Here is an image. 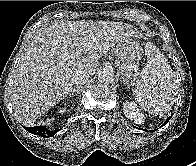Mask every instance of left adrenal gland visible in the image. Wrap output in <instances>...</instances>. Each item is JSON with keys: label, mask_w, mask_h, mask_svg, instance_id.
Returning <instances> with one entry per match:
<instances>
[{"label": "left adrenal gland", "mask_w": 196, "mask_h": 166, "mask_svg": "<svg viewBox=\"0 0 196 166\" xmlns=\"http://www.w3.org/2000/svg\"><path fill=\"white\" fill-rule=\"evenodd\" d=\"M120 80L124 83L127 84L129 86V81L127 79L124 78V76L120 77Z\"/></svg>", "instance_id": "obj_1"}]
</instances>
